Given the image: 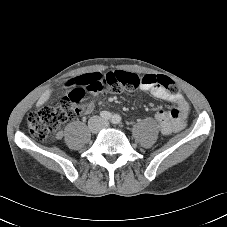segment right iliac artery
Listing matches in <instances>:
<instances>
[{
	"instance_id": "right-iliac-artery-1",
	"label": "right iliac artery",
	"mask_w": 227,
	"mask_h": 227,
	"mask_svg": "<svg viewBox=\"0 0 227 227\" xmlns=\"http://www.w3.org/2000/svg\"><path fill=\"white\" fill-rule=\"evenodd\" d=\"M100 116L105 119V120H109L112 118V114L108 111H102L100 112Z\"/></svg>"
}]
</instances>
